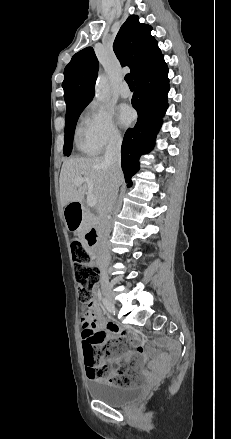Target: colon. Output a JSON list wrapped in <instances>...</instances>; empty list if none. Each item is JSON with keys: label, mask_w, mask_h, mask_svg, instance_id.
I'll use <instances>...</instances> for the list:
<instances>
[{"label": "colon", "mask_w": 231, "mask_h": 439, "mask_svg": "<svg viewBox=\"0 0 231 439\" xmlns=\"http://www.w3.org/2000/svg\"><path fill=\"white\" fill-rule=\"evenodd\" d=\"M71 253L74 275L78 283L79 298L83 307L89 309L92 305L93 288L99 281L100 272L81 242H72ZM125 350L126 345L121 340L113 341L103 348L90 344L86 345L83 351L88 377L92 380L108 378L109 382L119 386L135 385L139 380L132 375L130 370H118L110 375L112 365L107 360L118 358ZM102 361L104 362L102 363Z\"/></svg>", "instance_id": "1"}]
</instances>
